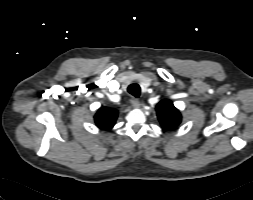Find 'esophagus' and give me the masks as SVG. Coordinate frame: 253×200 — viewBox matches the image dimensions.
Listing matches in <instances>:
<instances>
[{"label":"esophagus","instance_id":"1","mask_svg":"<svg viewBox=\"0 0 253 200\" xmlns=\"http://www.w3.org/2000/svg\"><path fill=\"white\" fill-rule=\"evenodd\" d=\"M130 103L134 108H138L140 106V102L137 98L132 97L130 99Z\"/></svg>","mask_w":253,"mask_h":200}]
</instances>
